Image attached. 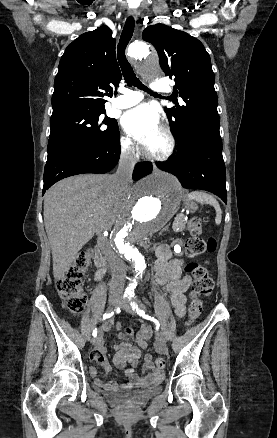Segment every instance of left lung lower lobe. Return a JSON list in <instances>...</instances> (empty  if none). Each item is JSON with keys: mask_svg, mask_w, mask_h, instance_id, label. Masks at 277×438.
I'll use <instances>...</instances> for the list:
<instances>
[{"mask_svg": "<svg viewBox=\"0 0 277 438\" xmlns=\"http://www.w3.org/2000/svg\"><path fill=\"white\" fill-rule=\"evenodd\" d=\"M159 169L175 175L187 189H201L227 203L226 172L222 156L219 118L204 116L175 157L156 162Z\"/></svg>", "mask_w": 277, "mask_h": 438, "instance_id": "left-lung-lower-lobe-1", "label": "left lung lower lobe"}]
</instances>
